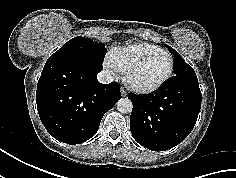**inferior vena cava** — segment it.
<instances>
[{"mask_svg": "<svg viewBox=\"0 0 236 178\" xmlns=\"http://www.w3.org/2000/svg\"><path fill=\"white\" fill-rule=\"evenodd\" d=\"M97 79L102 84H109L113 82V76L108 70H102L98 73Z\"/></svg>", "mask_w": 236, "mask_h": 178, "instance_id": "obj_1", "label": "inferior vena cava"}]
</instances>
